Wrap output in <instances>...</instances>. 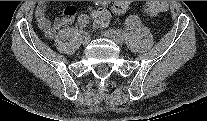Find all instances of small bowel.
<instances>
[{"mask_svg":"<svg viewBox=\"0 0 207 121\" xmlns=\"http://www.w3.org/2000/svg\"><path fill=\"white\" fill-rule=\"evenodd\" d=\"M101 5H109L108 2H100ZM115 7V14H123L127 7L128 2L119 1L112 4ZM76 15V8L72 5L67 6L64 9V13L61 17L57 18L54 22H51L47 17V2L41 1L38 3L35 10V17L38 24V27L48 39H53L57 32L69 26ZM84 15V14H83Z\"/></svg>","mask_w":207,"mask_h":121,"instance_id":"small-bowel-1","label":"small bowel"}]
</instances>
